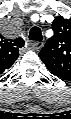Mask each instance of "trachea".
<instances>
[{
  "instance_id": "trachea-1",
  "label": "trachea",
  "mask_w": 71,
  "mask_h": 119,
  "mask_svg": "<svg viewBox=\"0 0 71 119\" xmlns=\"http://www.w3.org/2000/svg\"><path fill=\"white\" fill-rule=\"evenodd\" d=\"M29 39L34 41H42L43 36L39 27L31 28L29 32Z\"/></svg>"
}]
</instances>
